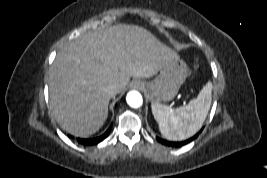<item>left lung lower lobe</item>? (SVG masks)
I'll return each mask as SVG.
<instances>
[{
  "instance_id": "1",
  "label": "left lung lower lobe",
  "mask_w": 267,
  "mask_h": 178,
  "mask_svg": "<svg viewBox=\"0 0 267 178\" xmlns=\"http://www.w3.org/2000/svg\"><path fill=\"white\" fill-rule=\"evenodd\" d=\"M201 132V131H200ZM199 134V133H198ZM198 134H196L195 136H193L192 138H189L188 140H185V141H181V142H171V141H167V140H164V139H161L159 137H157V140L164 144V145H167V146H174V147H179V146H182V145H185L189 142H191L192 140H194L195 138H197Z\"/></svg>"
}]
</instances>
